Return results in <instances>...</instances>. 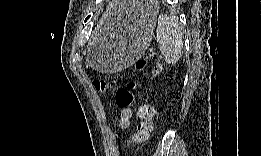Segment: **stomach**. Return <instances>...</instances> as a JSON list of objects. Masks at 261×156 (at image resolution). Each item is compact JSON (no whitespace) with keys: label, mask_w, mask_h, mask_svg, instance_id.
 Returning <instances> with one entry per match:
<instances>
[{"label":"stomach","mask_w":261,"mask_h":156,"mask_svg":"<svg viewBox=\"0 0 261 156\" xmlns=\"http://www.w3.org/2000/svg\"><path fill=\"white\" fill-rule=\"evenodd\" d=\"M156 16V9L142 10L108 37H98L90 56L93 67L115 71L141 57L151 41Z\"/></svg>","instance_id":"obj_1"}]
</instances>
